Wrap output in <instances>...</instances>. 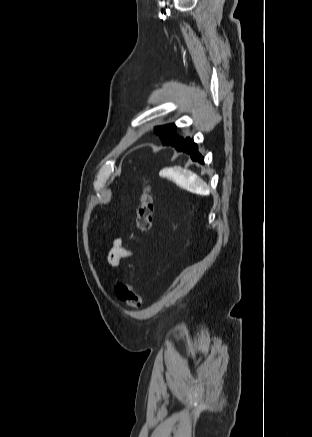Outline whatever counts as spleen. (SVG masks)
Returning a JSON list of instances; mask_svg holds the SVG:
<instances>
[{"instance_id": "3e777b00", "label": "spleen", "mask_w": 312, "mask_h": 437, "mask_svg": "<svg viewBox=\"0 0 312 437\" xmlns=\"http://www.w3.org/2000/svg\"><path fill=\"white\" fill-rule=\"evenodd\" d=\"M165 176L174 180L177 184L182 186L183 188L199 193V194H209L210 189L209 186L200 179L195 173L191 171H184L182 173L176 172H163Z\"/></svg>"}]
</instances>
